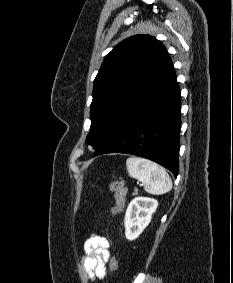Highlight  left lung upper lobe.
Listing matches in <instances>:
<instances>
[{
    "label": "left lung upper lobe",
    "mask_w": 233,
    "mask_h": 283,
    "mask_svg": "<svg viewBox=\"0 0 233 283\" xmlns=\"http://www.w3.org/2000/svg\"><path fill=\"white\" fill-rule=\"evenodd\" d=\"M168 57L163 44L149 35L127 38L106 55L94 80L87 144L97 151L109 139Z\"/></svg>",
    "instance_id": "left-lung-upper-lobe-1"
}]
</instances>
